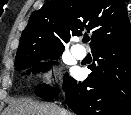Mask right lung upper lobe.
Here are the masks:
<instances>
[{
  "label": "right lung upper lobe",
  "instance_id": "cb5924a9",
  "mask_svg": "<svg viewBox=\"0 0 131 115\" xmlns=\"http://www.w3.org/2000/svg\"><path fill=\"white\" fill-rule=\"evenodd\" d=\"M92 33L91 51L131 38L124 0H50L29 18L15 61L32 52H63L64 42Z\"/></svg>",
  "mask_w": 131,
  "mask_h": 115
}]
</instances>
